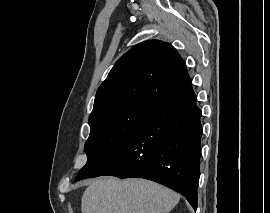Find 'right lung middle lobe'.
Segmentation results:
<instances>
[{
	"instance_id": "obj_1",
	"label": "right lung middle lobe",
	"mask_w": 270,
	"mask_h": 213,
	"mask_svg": "<svg viewBox=\"0 0 270 213\" xmlns=\"http://www.w3.org/2000/svg\"><path fill=\"white\" fill-rule=\"evenodd\" d=\"M156 103L137 100L89 119L90 135L84 146L88 160L75 181L96 174L129 140Z\"/></svg>"
}]
</instances>
